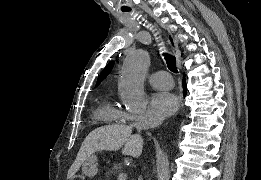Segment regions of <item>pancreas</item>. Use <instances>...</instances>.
<instances>
[{
	"mask_svg": "<svg viewBox=\"0 0 261 180\" xmlns=\"http://www.w3.org/2000/svg\"><path fill=\"white\" fill-rule=\"evenodd\" d=\"M124 166L120 162H112L111 165H108L106 170V177H111L114 174H119V170H123Z\"/></svg>",
	"mask_w": 261,
	"mask_h": 180,
	"instance_id": "1",
	"label": "pancreas"
}]
</instances>
